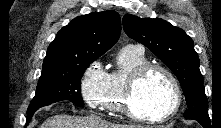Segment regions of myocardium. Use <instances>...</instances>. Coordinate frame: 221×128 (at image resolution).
Here are the masks:
<instances>
[{
	"mask_svg": "<svg viewBox=\"0 0 221 128\" xmlns=\"http://www.w3.org/2000/svg\"><path fill=\"white\" fill-rule=\"evenodd\" d=\"M153 71H160L168 78L171 85L173 99L165 112L158 115H146L137 111L133 101L138 86L142 80ZM180 105L181 91L179 83L174 74L165 66L155 63H145L135 69L126 82L124 90L123 110L124 113L133 120L147 123H161L174 116L179 110Z\"/></svg>",
	"mask_w": 221,
	"mask_h": 128,
	"instance_id": "f54148a6",
	"label": "myocardium"
}]
</instances>
